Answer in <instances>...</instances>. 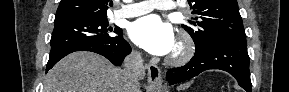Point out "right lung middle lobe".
Wrapping results in <instances>:
<instances>
[{"mask_svg": "<svg viewBox=\"0 0 289 92\" xmlns=\"http://www.w3.org/2000/svg\"><path fill=\"white\" fill-rule=\"evenodd\" d=\"M107 18H73L54 22L51 37V52L54 54L62 49L85 43H111L121 37L120 28L107 27ZM114 32L118 36L109 33Z\"/></svg>", "mask_w": 289, "mask_h": 92, "instance_id": "1", "label": "right lung middle lobe"}]
</instances>
